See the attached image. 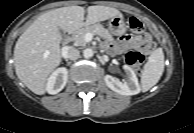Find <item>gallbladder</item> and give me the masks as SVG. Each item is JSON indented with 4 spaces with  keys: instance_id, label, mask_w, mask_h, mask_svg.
<instances>
[{
    "instance_id": "obj_1",
    "label": "gallbladder",
    "mask_w": 194,
    "mask_h": 133,
    "mask_svg": "<svg viewBox=\"0 0 194 133\" xmlns=\"http://www.w3.org/2000/svg\"><path fill=\"white\" fill-rule=\"evenodd\" d=\"M59 31H60L61 37H64V35H65L64 31L63 30H59Z\"/></svg>"
}]
</instances>
